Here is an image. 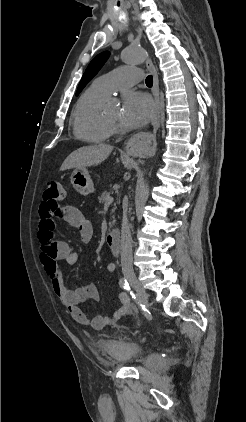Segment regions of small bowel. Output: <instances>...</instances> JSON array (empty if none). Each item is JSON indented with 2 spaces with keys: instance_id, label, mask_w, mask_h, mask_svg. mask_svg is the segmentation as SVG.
<instances>
[{
  "instance_id": "small-bowel-1",
  "label": "small bowel",
  "mask_w": 246,
  "mask_h": 422,
  "mask_svg": "<svg viewBox=\"0 0 246 422\" xmlns=\"http://www.w3.org/2000/svg\"><path fill=\"white\" fill-rule=\"evenodd\" d=\"M40 220L38 239L41 246V261L49 278L52 290L67 309L71 317L80 324L88 325L96 330H101L113 324L121 317L131 312V302L125 292L119 293L120 308L110 315H95L88 318L81 310L80 304L88 300H99L100 293L97 287L91 283L84 284L75 289H68L61 278L59 261H65L72 266L78 261V253L65 241L55 239V218L64 219L69 225L79 231L80 238L87 243L93 236V227L85 215L74 206L64 209H53L45 203L40 205ZM107 272L112 274L115 265L109 262L106 265Z\"/></svg>"
}]
</instances>
